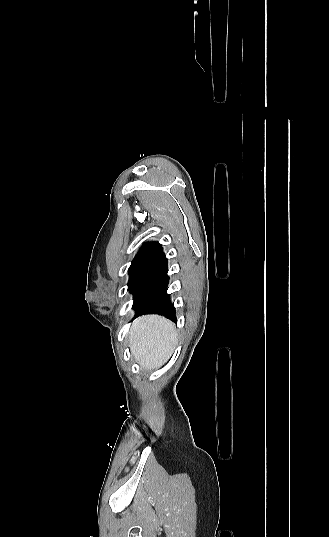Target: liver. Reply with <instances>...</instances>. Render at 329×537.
<instances>
[{"instance_id": "liver-1", "label": "liver", "mask_w": 329, "mask_h": 537, "mask_svg": "<svg viewBox=\"0 0 329 537\" xmlns=\"http://www.w3.org/2000/svg\"><path fill=\"white\" fill-rule=\"evenodd\" d=\"M132 355L146 369L163 365L177 344L174 324L158 315H145L133 321L129 331Z\"/></svg>"}]
</instances>
